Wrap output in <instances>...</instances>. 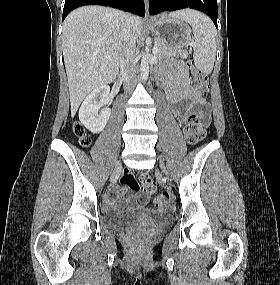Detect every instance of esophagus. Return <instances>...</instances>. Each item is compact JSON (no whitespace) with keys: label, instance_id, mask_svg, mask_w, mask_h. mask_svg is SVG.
I'll list each match as a JSON object with an SVG mask.
<instances>
[{"label":"esophagus","instance_id":"obj_1","mask_svg":"<svg viewBox=\"0 0 280 285\" xmlns=\"http://www.w3.org/2000/svg\"><path fill=\"white\" fill-rule=\"evenodd\" d=\"M146 11L148 12V5H149V0H144ZM148 17V15H147Z\"/></svg>","mask_w":280,"mask_h":285}]
</instances>
